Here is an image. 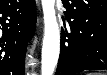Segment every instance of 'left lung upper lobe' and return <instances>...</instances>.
<instances>
[{
    "label": "left lung upper lobe",
    "instance_id": "5c2ea615",
    "mask_svg": "<svg viewBox=\"0 0 107 75\" xmlns=\"http://www.w3.org/2000/svg\"><path fill=\"white\" fill-rule=\"evenodd\" d=\"M102 4H107V1L106 0L98 1V2H95L93 4L87 3V5L82 6V10H88L89 11V10H92V9H95V8L102 6ZM72 18L73 19H71V20L73 21V27L70 28V35L72 33H74L75 38L83 37L85 34V29H84V26L82 23L81 16L78 15L77 13H75V14H73Z\"/></svg>",
    "mask_w": 107,
    "mask_h": 75
}]
</instances>
